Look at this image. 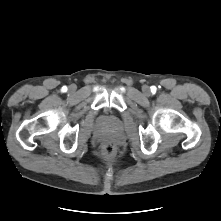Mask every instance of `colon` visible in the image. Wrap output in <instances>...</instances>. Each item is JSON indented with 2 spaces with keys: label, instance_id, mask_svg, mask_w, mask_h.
I'll return each instance as SVG.
<instances>
[{
  "label": "colon",
  "instance_id": "obj_1",
  "mask_svg": "<svg viewBox=\"0 0 221 221\" xmlns=\"http://www.w3.org/2000/svg\"><path fill=\"white\" fill-rule=\"evenodd\" d=\"M102 154L106 159H112L117 154V145L111 141H105L102 145Z\"/></svg>",
  "mask_w": 221,
  "mask_h": 221
}]
</instances>
